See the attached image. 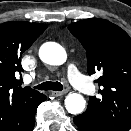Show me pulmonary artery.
<instances>
[{
    "instance_id": "e3ab8cb5",
    "label": "pulmonary artery",
    "mask_w": 131,
    "mask_h": 131,
    "mask_svg": "<svg viewBox=\"0 0 131 131\" xmlns=\"http://www.w3.org/2000/svg\"><path fill=\"white\" fill-rule=\"evenodd\" d=\"M67 75L69 81L84 94H91L94 90L93 84L84 76L73 63L68 65Z\"/></svg>"
}]
</instances>
